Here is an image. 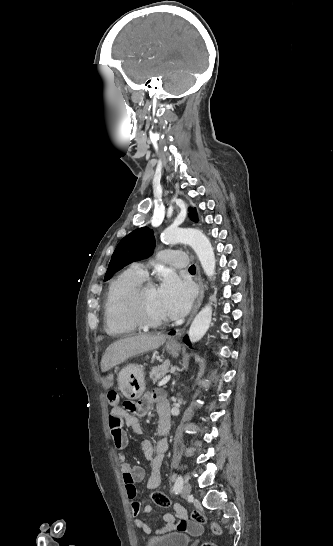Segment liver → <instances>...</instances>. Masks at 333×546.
Masks as SVG:
<instances>
[{
  "label": "liver",
  "mask_w": 333,
  "mask_h": 546,
  "mask_svg": "<svg viewBox=\"0 0 333 546\" xmlns=\"http://www.w3.org/2000/svg\"><path fill=\"white\" fill-rule=\"evenodd\" d=\"M165 341V335H136L116 341L102 356L101 371L106 372L130 357L158 349Z\"/></svg>",
  "instance_id": "obj_1"
}]
</instances>
